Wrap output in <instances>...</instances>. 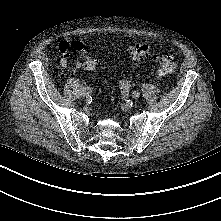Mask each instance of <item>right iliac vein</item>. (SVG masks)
Here are the masks:
<instances>
[{
    "label": "right iliac vein",
    "mask_w": 221,
    "mask_h": 221,
    "mask_svg": "<svg viewBox=\"0 0 221 221\" xmlns=\"http://www.w3.org/2000/svg\"><path fill=\"white\" fill-rule=\"evenodd\" d=\"M81 94H82L83 97L89 96L88 91L85 88L82 89V93Z\"/></svg>",
    "instance_id": "right-iliac-vein-1"
}]
</instances>
